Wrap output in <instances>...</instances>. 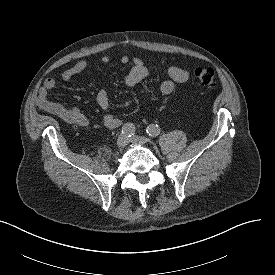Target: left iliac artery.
<instances>
[{"instance_id": "44dca946", "label": "left iliac artery", "mask_w": 275, "mask_h": 275, "mask_svg": "<svg viewBox=\"0 0 275 275\" xmlns=\"http://www.w3.org/2000/svg\"><path fill=\"white\" fill-rule=\"evenodd\" d=\"M146 132L151 137H157L160 134L161 129L158 125L151 124L147 127Z\"/></svg>"}]
</instances>
